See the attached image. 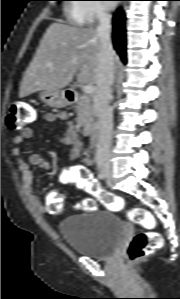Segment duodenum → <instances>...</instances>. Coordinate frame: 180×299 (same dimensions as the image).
<instances>
[{
  "label": "duodenum",
  "mask_w": 180,
  "mask_h": 299,
  "mask_svg": "<svg viewBox=\"0 0 180 299\" xmlns=\"http://www.w3.org/2000/svg\"><path fill=\"white\" fill-rule=\"evenodd\" d=\"M65 97H66L67 101L71 104L77 99L78 92L74 89H69L65 92ZM81 131H82L83 135L89 136L94 132V127L91 124L82 123Z\"/></svg>",
  "instance_id": "duodenum-1"
}]
</instances>
